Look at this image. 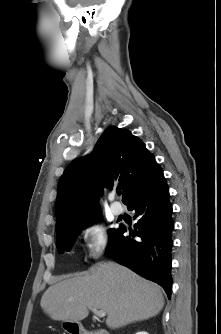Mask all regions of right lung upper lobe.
I'll list each match as a JSON object with an SVG mask.
<instances>
[{
	"instance_id": "cb5924a9",
	"label": "right lung upper lobe",
	"mask_w": 221,
	"mask_h": 334,
	"mask_svg": "<svg viewBox=\"0 0 221 334\" xmlns=\"http://www.w3.org/2000/svg\"><path fill=\"white\" fill-rule=\"evenodd\" d=\"M163 174L145 144L129 130L108 127L91 157L78 158L65 169L56 199L57 235L69 226L99 217L97 193L117 184L125 205ZM56 235V236H57Z\"/></svg>"
}]
</instances>
